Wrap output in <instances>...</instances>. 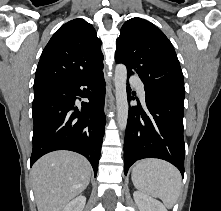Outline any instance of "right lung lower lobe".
Here are the masks:
<instances>
[{"label": "right lung lower lobe", "instance_id": "1", "mask_svg": "<svg viewBox=\"0 0 221 211\" xmlns=\"http://www.w3.org/2000/svg\"><path fill=\"white\" fill-rule=\"evenodd\" d=\"M77 96L89 99L82 102L81 112L75 106ZM104 100L102 70L35 92L30 165L48 152L71 150L84 155L96 175L106 123Z\"/></svg>", "mask_w": 221, "mask_h": 211}]
</instances>
